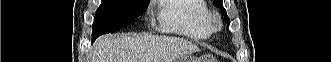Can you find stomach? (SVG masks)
Instances as JSON below:
<instances>
[{
    "mask_svg": "<svg viewBox=\"0 0 331 62\" xmlns=\"http://www.w3.org/2000/svg\"><path fill=\"white\" fill-rule=\"evenodd\" d=\"M174 62H195L193 58L188 56H181L178 59H176Z\"/></svg>",
    "mask_w": 331,
    "mask_h": 62,
    "instance_id": "stomach-1",
    "label": "stomach"
}]
</instances>
